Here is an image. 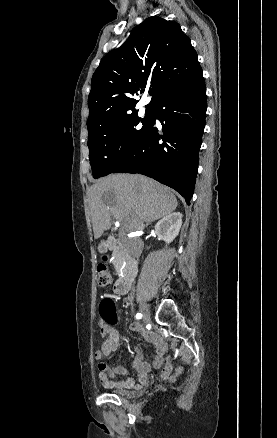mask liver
I'll return each instance as SVG.
<instances>
[{"label": "liver", "mask_w": 277, "mask_h": 438, "mask_svg": "<svg viewBox=\"0 0 277 438\" xmlns=\"http://www.w3.org/2000/svg\"><path fill=\"white\" fill-rule=\"evenodd\" d=\"M107 192V194H106ZM177 198L169 188L140 174H117L93 184L90 214L95 240L111 228V214L126 232L142 230L145 224L174 212Z\"/></svg>", "instance_id": "obj_1"}]
</instances>
